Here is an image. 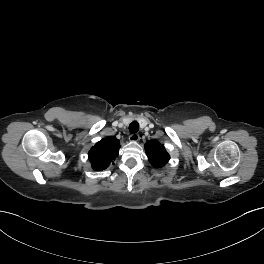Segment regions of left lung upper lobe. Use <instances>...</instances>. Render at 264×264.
I'll return each mask as SVG.
<instances>
[{"mask_svg":"<svg viewBox=\"0 0 264 264\" xmlns=\"http://www.w3.org/2000/svg\"><path fill=\"white\" fill-rule=\"evenodd\" d=\"M145 149L149 161L155 167H162L170 159V156L166 152L164 146L157 141H148L145 145Z\"/></svg>","mask_w":264,"mask_h":264,"instance_id":"5c2ea615","label":"left lung upper lobe"}]
</instances>
